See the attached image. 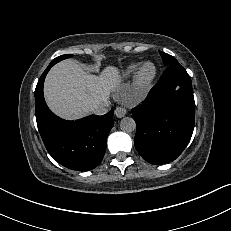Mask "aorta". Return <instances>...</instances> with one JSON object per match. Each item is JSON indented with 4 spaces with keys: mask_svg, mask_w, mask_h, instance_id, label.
<instances>
[{
    "mask_svg": "<svg viewBox=\"0 0 231 231\" xmlns=\"http://www.w3.org/2000/svg\"><path fill=\"white\" fill-rule=\"evenodd\" d=\"M121 130L125 132H132L136 129V123L131 117H124L120 122Z\"/></svg>",
    "mask_w": 231,
    "mask_h": 231,
    "instance_id": "aorta-1",
    "label": "aorta"
}]
</instances>
